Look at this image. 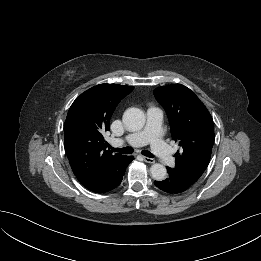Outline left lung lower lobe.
Returning a JSON list of instances; mask_svg holds the SVG:
<instances>
[{"mask_svg":"<svg viewBox=\"0 0 261 261\" xmlns=\"http://www.w3.org/2000/svg\"><path fill=\"white\" fill-rule=\"evenodd\" d=\"M168 178L163 181H154V184L164 192L176 194L189 189L194 183L183 177L178 172L167 167Z\"/></svg>","mask_w":261,"mask_h":261,"instance_id":"obj_1","label":"left lung lower lobe"}]
</instances>
